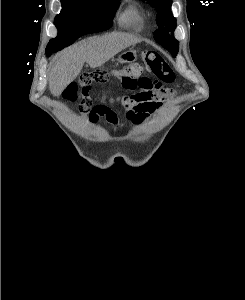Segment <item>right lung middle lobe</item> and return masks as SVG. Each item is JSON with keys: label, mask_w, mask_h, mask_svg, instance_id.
<instances>
[{"label": "right lung middle lobe", "mask_w": 245, "mask_h": 300, "mask_svg": "<svg viewBox=\"0 0 245 300\" xmlns=\"http://www.w3.org/2000/svg\"><path fill=\"white\" fill-rule=\"evenodd\" d=\"M61 3V13L54 21L58 35L50 40L47 51L57 52L82 36L80 24L84 20H97L106 29L110 28L119 6V0H61Z\"/></svg>", "instance_id": "obj_1"}]
</instances>
